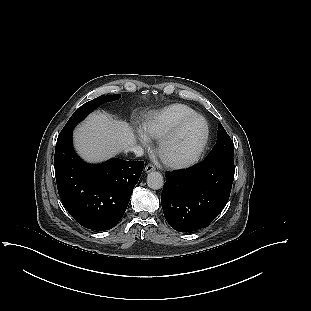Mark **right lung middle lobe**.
<instances>
[{
  "label": "right lung middle lobe",
  "instance_id": "1",
  "mask_svg": "<svg viewBox=\"0 0 311 311\" xmlns=\"http://www.w3.org/2000/svg\"><path fill=\"white\" fill-rule=\"evenodd\" d=\"M121 97L120 94H114L111 96H99L84 105H82L80 108H78L74 114L71 116L69 121L66 123L62 131L60 132L58 139L61 140L62 138L66 137L70 133H72L73 128L82 121L91 111H93L95 108H97L99 105L111 102L114 100H117Z\"/></svg>",
  "mask_w": 311,
  "mask_h": 311
}]
</instances>
